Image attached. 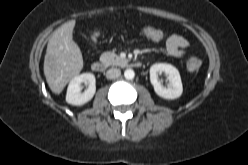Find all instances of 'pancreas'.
I'll return each instance as SVG.
<instances>
[{
  "label": "pancreas",
  "mask_w": 248,
  "mask_h": 165,
  "mask_svg": "<svg viewBox=\"0 0 248 165\" xmlns=\"http://www.w3.org/2000/svg\"><path fill=\"white\" fill-rule=\"evenodd\" d=\"M100 61L105 63L106 65H112V66H122L125 63H127V60L122 59L118 55H116L114 52H104L101 57Z\"/></svg>",
  "instance_id": "obj_1"
}]
</instances>
